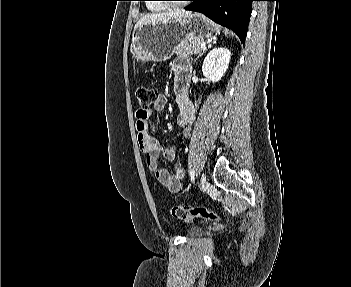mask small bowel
<instances>
[{
  "instance_id": "obj_1",
  "label": "small bowel",
  "mask_w": 351,
  "mask_h": 287,
  "mask_svg": "<svg viewBox=\"0 0 351 287\" xmlns=\"http://www.w3.org/2000/svg\"><path fill=\"white\" fill-rule=\"evenodd\" d=\"M189 62L180 58L173 62L172 72L175 76L176 101L180 109L177 123L187 137L190 136L191 127L195 119V107L190 101L187 90ZM167 105V97L157 94L152 108H139L136 111V130L139 146L146 157V164L156 179L169 191L178 192L182 188L185 170L181 164H175L173 171L160 167V157L173 161L175 159L174 147H163L150 133L149 118L153 112H162Z\"/></svg>"
}]
</instances>
